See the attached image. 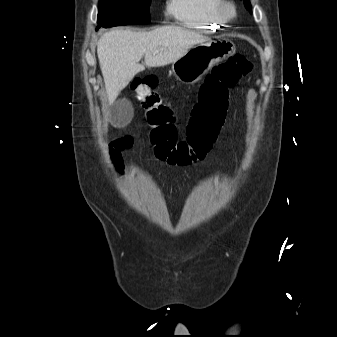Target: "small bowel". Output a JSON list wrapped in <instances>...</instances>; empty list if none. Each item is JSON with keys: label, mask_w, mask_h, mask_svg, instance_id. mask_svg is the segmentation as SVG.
<instances>
[{"label": "small bowel", "mask_w": 337, "mask_h": 337, "mask_svg": "<svg viewBox=\"0 0 337 337\" xmlns=\"http://www.w3.org/2000/svg\"><path fill=\"white\" fill-rule=\"evenodd\" d=\"M133 145L132 139L128 137H123L114 141L110 152V160L114 166L117 175L124 179L127 174L126 161L123 158L121 151L124 149H129Z\"/></svg>", "instance_id": "small-bowel-1"}]
</instances>
